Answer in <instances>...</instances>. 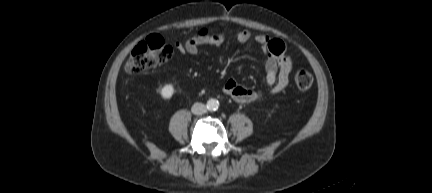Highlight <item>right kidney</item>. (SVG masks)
<instances>
[{
  "label": "right kidney",
  "instance_id": "ca27d5eb",
  "mask_svg": "<svg viewBox=\"0 0 432 193\" xmlns=\"http://www.w3.org/2000/svg\"><path fill=\"white\" fill-rule=\"evenodd\" d=\"M174 91L175 90L172 84H166L161 88L160 95L163 99L167 100L173 96Z\"/></svg>",
  "mask_w": 432,
  "mask_h": 193
}]
</instances>
